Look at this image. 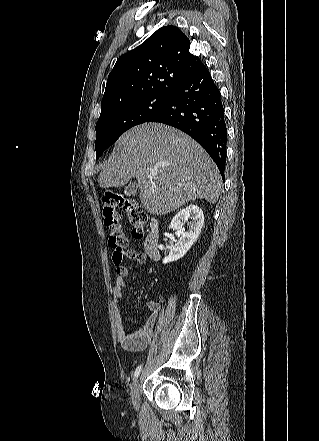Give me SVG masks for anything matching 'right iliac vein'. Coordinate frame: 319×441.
<instances>
[{
  "label": "right iliac vein",
  "mask_w": 319,
  "mask_h": 441,
  "mask_svg": "<svg viewBox=\"0 0 319 441\" xmlns=\"http://www.w3.org/2000/svg\"><path fill=\"white\" fill-rule=\"evenodd\" d=\"M139 390H140V383L139 380L136 379L131 389L132 404L135 410H138L140 406Z\"/></svg>",
  "instance_id": "1"
}]
</instances>
